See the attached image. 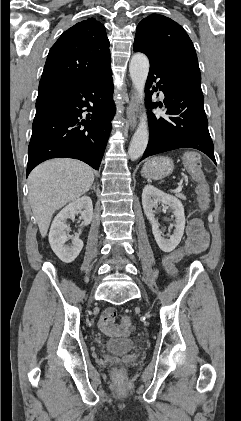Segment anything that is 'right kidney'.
I'll list each match as a JSON object with an SVG mask.
<instances>
[{"label": "right kidney", "instance_id": "obj_1", "mask_svg": "<svg viewBox=\"0 0 241 421\" xmlns=\"http://www.w3.org/2000/svg\"><path fill=\"white\" fill-rule=\"evenodd\" d=\"M78 213L81 214V218L83 219V226L91 223L93 218V204L89 196L78 198L63 208L54 218L49 232V243L52 250L66 263L73 262L83 248V241L79 239L81 230L73 238L72 244L66 245V241L68 240L65 234L67 229L66 220L73 218Z\"/></svg>", "mask_w": 241, "mask_h": 421}]
</instances>
